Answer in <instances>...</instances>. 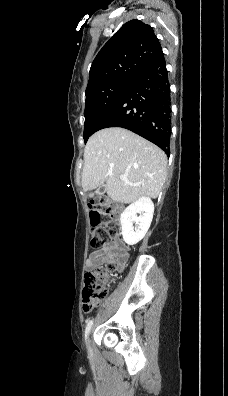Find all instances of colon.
<instances>
[{
	"label": "colon",
	"mask_w": 228,
	"mask_h": 396,
	"mask_svg": "<svg viewBox=\"0 0 228 396\" xmlns=\"http://www.w3.org/2000/svg\"><path fill=\"white\" fill-rule=\"evenodd\" d=\"M90 208L89 216L93 228L91 245L104 246L112 234L109 225L117 220L118 211L103 197L92 199ZM121 258V254L113 252L104 267H99L85 275L82 294V306L85 312H90L104 298L108 290L110 276L117 270Z\"/></svg>",
	"instance_id": "1"
}]
</instances>
